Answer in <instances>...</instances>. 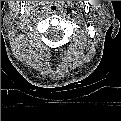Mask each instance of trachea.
<instances>
[{"label": "trachea", "mask_w": 121, "mask_h": 121, "mask_svg": "<svg viewBox=\"0 0 121 121\" xmlns=\"http://www.w3.org/2000/svg\"><path fill=\"white\" fill-rule=\"evenodd\" d=\"M59 10H60V6L58 5V3L53 2V3H51L49 5V11L50 12H52V13H58Z\"/></svg>", "instance_id": "obj_1"}]
</instances>
